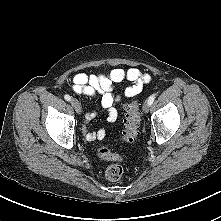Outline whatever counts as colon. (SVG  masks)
<instances>
[{
  "label": "colon",
  "mask_w": 221,
  "mask_h": 221,
  "mask_svg": "<svg viewBox=\"0 0 221 221\" xmlns=\"http://www.w3.org/2000/svg\"><path fill=\"white\" fill-rule=\"evenodd\" d=\"M140 112L139 104L134 101L125 106V115L123 120V130L121 133V141L133 143L139 134ZM99 158L115 163L110 164L105 170V176L110 181H117L123 174V168L119 164L121 156L112 152L108 146H102L97 150Z\"/></svg>",
  "instance_id": "colon-1"
}]
</instances>
